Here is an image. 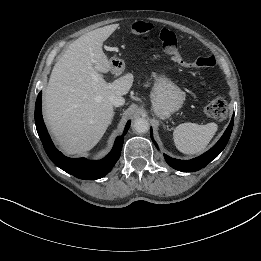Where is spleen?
I'll return each instance as SVG.
<instances>
[{"label": "spleen", "mask_w": 261, "mask_h": 261, "mask_svg": "<svg viewBox=\"0 0 261 261\" xmlns=\"http://www.w3.org/2000/svg\"><path fill=\"white\" fill-rule=\"evenodd\" d=\"M218 126L216 123L199 125L196 123H182L173 132V139L176 148L184 154H198L203 152Z\"/></svg>", "instance_id": "spleen-1"}]
</instances>
